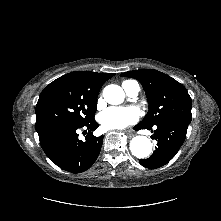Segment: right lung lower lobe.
Segmentation results:
<instances>
[{
	"mask_svg": "<svg viewBox=\"0 0 221 221\" xmlns=\"http://www.w3.org/2000/svg\"><path fill=\"white\" fill-rule=\"evenodd\" d=\"M99 124L92 120L85 125H58L40 133L39 140L48 158L71 173H81L89 169L99 156L103 137H95L92 131ZM79 129L87 133L85 141L78 138Z\"/></svg>",
	"mask_w": 221,
	"mask_h": 221,
	"instance_id": "right-lung-lower-lobe-1",
	"label": "right lung lower lobe"
}]
</instances>
